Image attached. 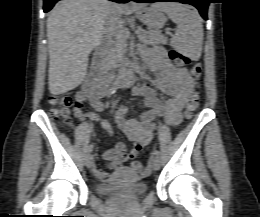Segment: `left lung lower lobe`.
Wrapping results in <instances>:
<instances>
[{
    "label": "left lung lower lobe",
    "instance_id": "left-lung-lower-lobe-1",
    "mask_svg": "<svg viewBox=\"0 0 260 217\" xmlns=\"http://www.w3.org/2000/svg\"><path fill=\"white\" fill-rule=\"evenodd\" d=\"M136 2H145V3H153V2H181L185 4H191L195 6L199 11L202 17L207 20V8L210 3V0H132Z\"/></svg>",
    "mask_w": 260,
    "mask_h": 217
}]
</instances>
